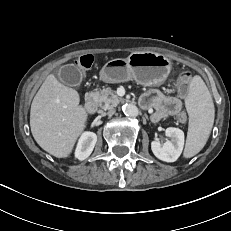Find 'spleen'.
<instances>
[{"label": "spleen", "mask_w": 231, "mask_h": 231, "mask_svg": "<svg viewBox=\"0 0 231 231\" xmlns=\"http://www.w3.org/2000/svg\"><path fill=\"white\" fill-rule=\"evenodd\" d=\"M189 115L184 157L191 158L205 146L214 123L215 109L211 94L200 76H194L185 100Z\"/></svg>", "instance_id": "spleen-1"}]
</instances>
